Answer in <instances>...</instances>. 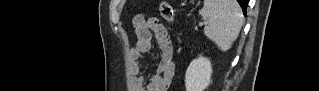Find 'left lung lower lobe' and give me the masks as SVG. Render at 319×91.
Masks as SVG:
<instances>
[{
    "instance_id": "left-lung-lower-lobe-1",
    "label": "left lung lower lobe",
    "mask_w": 319,
    "mask_h": 91,
    "mask_svg": "<svg viewBox=\"0 0 319 91\" xmlns=\"http://www.w3.org/2000/svg\"><path fill=\"white\" fill-rule=\"evenodd\" d=\"M240 6L242 7L243 14L246 15V8L248 5V0H237Z\"/></svg>"
}]
</instances>
